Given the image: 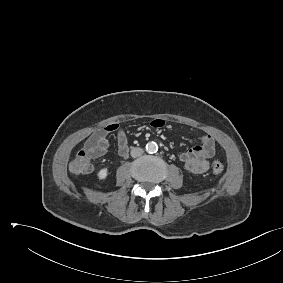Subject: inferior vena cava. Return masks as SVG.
<instances>
[{
    "label": "inferior vena cava",
    "mask_w": 283,
    "mask_h": 283,
    "mask_svg": "<svg viewBox=\"0 0 283 283\" xmlns=\"http://www.w3.org/2000/svg\"><path fill=\"white\" fill-rule=\"evenodd\" d=\"M143 149L142 148H139V147H135L131 150V156L133 158H136V157H139L143 154Z\"/></svg>",
    "instance_id": "obj_1"
}]
</instances>
